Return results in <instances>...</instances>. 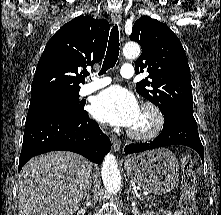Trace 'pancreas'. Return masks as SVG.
Wrapping results in <instances>:
<instances>
[{
	"label": "pancreas",
	"instance_id": "cf45deb5",
	"mask_svg": "<svg viewBox=\"0 0 221 215\" xmlns=\"http://www.w3.org/2000/svg\"><path fill=\"white\" fill-rule=\"evenodd\" d=\"M141 200L144 202V205L148 206V207H152V206H156L157 205V201L153 200L150 197L143 196V198Z\"/></svg>",
	"mask_w": 221,
	"mask_h": 215
}]
</instances>
